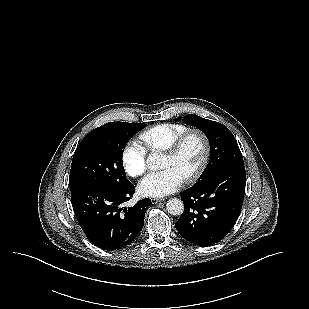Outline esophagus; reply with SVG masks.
Here are the masks:
<instances>
[{"mask_svg": "<svg viewBox=\"0 0 309 309\" xmlns=\"http://www.w3.org/2000/svg\"><path fill=\"white\" fill-rule=\"evenodd\" d=\"M161 201H162V199H158V198H152L151 199L152 204H157L158 202H161Z\"/></svg>", "mask_w": 309, "mask_h": 309, "instance_id": "1", "label": "esophagus"}]
</instances>
